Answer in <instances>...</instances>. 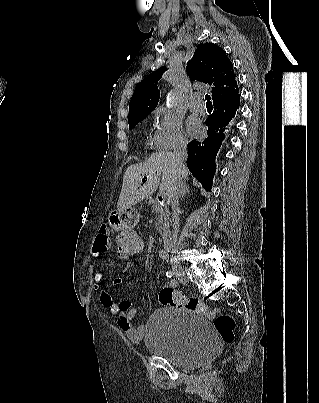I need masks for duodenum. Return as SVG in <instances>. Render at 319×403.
<instances>
[{"label": "duodenum", "instance_id": "duodenum-1", "mask_svg": "<svg viewBox=\"0 0 319 403\" xmlns=\"http://www.w3.org/2000/svg\"><path fill=\"white\" fill-rule=\"evenodd\" d=\"M163 243L165 248L170 251L172 248V240L168 231L162 233Z\"/></svg>", "mask_w": 319, "mask_h": 403}]
</instances>
